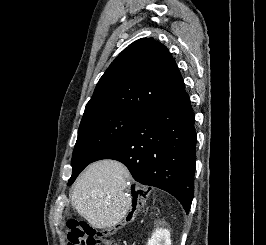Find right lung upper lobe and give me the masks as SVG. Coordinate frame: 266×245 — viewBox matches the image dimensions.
<instances>
[{"label":"right lung upper lobe","instance_id":"1","mask_svg":"<svg viewBox=\"0 0 266 245\" xmlns=\"http://www.w3.org/2000/svg\"><path fill=\"white\" fill-rule=\"evenodd\" d=\"M184 88L168 49L153 38L139 39L123 50L105 71L83 117L106 110L146 114L179 96Z\"/></svg>","mask_w":266,"mask_h":245}]
</instances>
